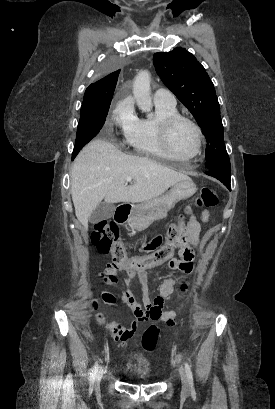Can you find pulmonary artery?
I'll return each instance as SVG.
<instances>
[{"label":"pulmonary artery","instance_id":"obj_1","mask_svg":"<svg viewBox=\"0 0 275 409\" xmlns=\"http://www.w3.org/2000/svg\"><path fill=\"white\" fill-rule=\"evenodd\" d=\"M153 101L157 106H166L170 108H174L176 106L175 96L171 92L167 91V87L165 85H158L156 87Z\"/></svg>","mask_w":275,"mask_h":409}]
</instances>
